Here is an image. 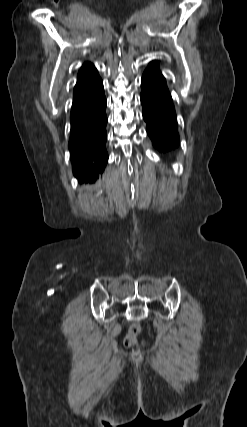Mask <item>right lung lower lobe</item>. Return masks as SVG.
Returning <instances> with one entry per match:
<instances>
[{"label": "right lung lower lobe", "mask_w": 247, "mask_h": 427, "mask_svg": "<svg viewBox=\"0 0 247 427\" xmlns=\"http://www.w3.org/2000/svg\"><path fill=\"white\" fill-rule=\"evenodd\" d=\"M105 109L103 83L94 69L78 78L71 108L68 147L74 176L80 181H95L107 164Z\"/></svg>", "instance_id": "obj_1"}]
</instances>
